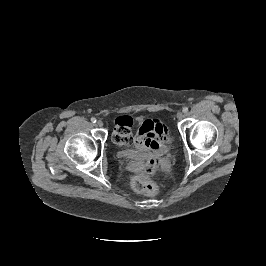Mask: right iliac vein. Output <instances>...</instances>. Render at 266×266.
Returning <instances> with one entry per match:
<instances>
[{"mask_svg": "<svg viewBox=\"0 0 266 266\" xmlns=\"http://www.w3.org/2000/svg\"><path fill=\"white\" fill-rule=\"evenodd\" d=\"M96 125L98 127H102L103 126V122L101 120H98L97 123H96Z\"/></svg>", "mask_w": 266, "mask_h": 266, "instance_id": "right-iliac-vein-1", "label": "right iliac vein"}]
</instances>
